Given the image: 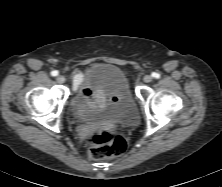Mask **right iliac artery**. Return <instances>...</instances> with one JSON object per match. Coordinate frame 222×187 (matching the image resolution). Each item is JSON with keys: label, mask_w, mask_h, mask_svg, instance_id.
<instances>
[{"label": "right iliac artery", "mask_w": 222, "mask_h": 187, "mask_svg": "<svg viewBox=\"0 0 222 187\" xmlns=\"http://www.w3.org/2000/svg\"><path fill=\"white\" fill-rule=\"evenodd\" d=\"M51 75H52V76H57V75H58V71H56V70L52 71V72H51Z\"/></svg>", "instance_id": "right-iliac-artery-1"}]
</instances>
